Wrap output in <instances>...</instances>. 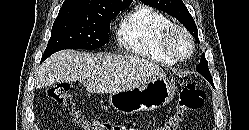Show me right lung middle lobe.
<instances>
[{
    "mask_svg": "<svg viewBox=\"0 0 249 130\" xmlns=\"http://www.w3.org/2000/svg\"><path fill=\"white\" fill-rule=\"evenodd\" d=\"M129 5L113 4L96 11L61 8L42 61L63 49L92 50L108 44L110 20Z\"/></svg>",
    "mask_w": 249,
    "mask_h": 130,
    "instance_id": "obj_1",
    "label": "right lung middle lobe"
}]
</instances>
